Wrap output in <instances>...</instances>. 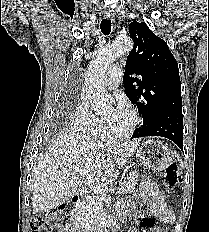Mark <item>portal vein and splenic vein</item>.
Returning <instances> with one entry per match:
<instances>
[{
    "mask_svg": "<svg viewBox=\"0 0 209 232\" xmlns=\"http://www.w3.org/2000/svg\"><path fill=\"white\" fill-rule=\"evenodd\" d=\"M76 171L80 173L81 176H84L88 186L90 187V189L94 192V194H96V196L100 199V200H104L106 197V192L105 190L100 187V185H98L94 179V176L92 174H90L89 170L87 169V167H77ZM124 187L121 186L119 188L118 193L122 194L124 192Z\"/></svg>",
    "mask_w": 209,
    "mask_h": 232,
    "instance_id": "18ae733b",
    "label": "portal vein and splenic vein"
}]
</instances>
